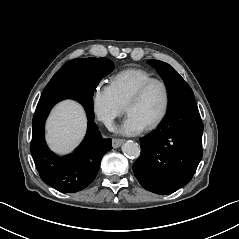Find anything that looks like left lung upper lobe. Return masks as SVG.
<instances>
[{
  "instance_id": "5c2ea615",
  "label": "left lung upper lobe",
  "mask_w": 239,
  "mask_h": 239,
  "mask_svg": "<svg viewBox=\"0 0 239 239\" xmlns=\"http://www.w3.org/2000/svg\"><path fill=\"white\" fill-rule=\"evenodd\" d=\"M148 63L156 68L166 84L169 92V107L180 100L194 97L189 85L169 64L158 60H149Z\"/></svg>"
}]
</instances>
